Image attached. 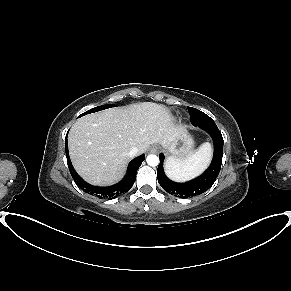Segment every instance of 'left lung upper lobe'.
I'll list each match as a JSON object with an SVG mask.
<instances>
[{
	"mask_svg": "<svg viewBox=\"0 0 291 291\" xmlns=\"http://www.w3.org/2000/svg\"><path fill=\"white\" fill-rule=\"evenodd\" d=\"M188 111L190 114L191 121H195V119L197 118L196 115H198V113L201 112L200 110L192 108V107H188ZM176 195H178V193Z\"/></svg>",
	"mask_w": 291,
	"mask_h": 291,
	"instance_id": "5c2ea615",
	"label": "left lung upper lobe"
}]
</instances>
